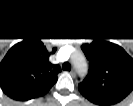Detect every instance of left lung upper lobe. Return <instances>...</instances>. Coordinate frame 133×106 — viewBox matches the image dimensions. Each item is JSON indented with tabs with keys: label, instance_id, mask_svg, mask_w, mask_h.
Segmentation results:
<instances>
[{
	"label": "left lung upper lobe",
	"instance_id": "obj_1",
	"mask_svg": "<svg viewBox=\"0 0 133 106\" xmlns=\"http://www.w3.org/2000/svg\"><path fill=\"white\" fill-rule=\"evenodd\" d=\"M82 50L89 71L78 85L81 94L97 105L122 101L133 90V59L120 46L101 40L82 46Z\"/></svg>",
	"mask_w": 133,
	"mask_h": 106
}]
</instances>
